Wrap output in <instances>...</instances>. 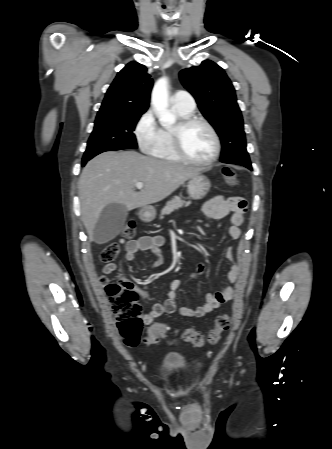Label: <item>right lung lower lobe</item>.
<instances>
[{"instance_id":"1","label":"right lung lower lobe","mask_w":332,"mask_h":449,"mask_svg":"<svg viewBox=\"0 0 332 449\" xmlns=\"http://www.w3.org/2000/svg\"><path fill=\"white\" fill-rule=\"evenodd\" d=\"M87 161H88V160H83V161H82V166H84V165L86 164Z\"/></svg>"}]
</instances>
